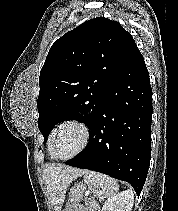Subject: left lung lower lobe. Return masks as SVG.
<instances>
[{"label":"left lung lower lobe","mask_w":178,"mask_h":211,"mask_svg":"<svg viewBox=\"0 0 178 211\" xmlns=\"http://www.w3.org/2000/svg\"><path fill=\"white\" fill-rule=\"evenodd\" d=\"M152 89L138 48L111 83L87 148L65 164L143 188L151 156Z\"/></svg>","instance_id":"0a47b994"}]
</instances>
